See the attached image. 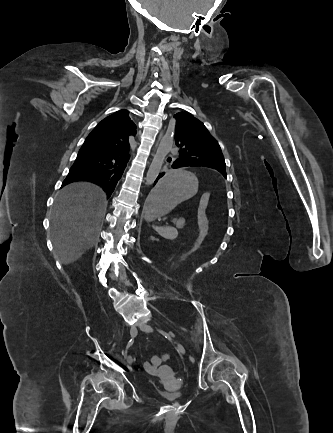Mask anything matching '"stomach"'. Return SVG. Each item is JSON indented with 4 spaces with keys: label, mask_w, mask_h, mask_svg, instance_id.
<instances>
[{
    "label": "stomach",
    "mask_w": 333,
    "mask_h": 433,
    "mask_svg": "<svg viewBox=\"0 0 333 433\" xmlns=\"http://www.w3.org/2000/svg\"><path fill=\"white\" fill-rule=\"evenodd\" d=\"M197 190L198 182L192 170L170 169L169 174L159 176V183H152L144 204L143 220H165L178 204L193 199Z\"/></svg>",
    "instance_id": "obj_1"
}]
</instances>
